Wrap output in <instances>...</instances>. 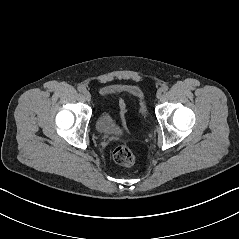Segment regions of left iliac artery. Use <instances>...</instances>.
I'll list each match as a JSON object with an SVG mask.
<instances>
[{
	"instance_id": "obj_1",
	"label": "left iliac artery",
	"mask_w": 239,
	"mask_h": 239,
	"mask_svg": "<svg viewBox=\"0 0 239 239\" xmlns=\"http://www.w3.org/2000/svg\"><path fill=\"white\" fill-rule=\"evenodd\" d=\"M168 86L167 85H163L162 86V88H161V90L163 91V92H166L167 90H168Z\"/></svg>"
}]
</instances>
